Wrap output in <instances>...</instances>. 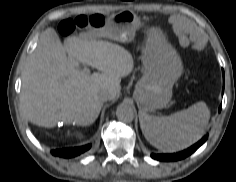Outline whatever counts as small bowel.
<instances>
[{
    "label": "small bowel",
    "mask_w": 236,
    "mask_h": 182,
    "mask_svg": "<svg viewBox=\"0 0 236 182\" xmlns=\"http://www.w3.org/2000/svg\"><path fill=\"white\" fill-rule=\"evenodd\" d=\"M172 23L174 24V28L176 33L179 36V40L183 45L187 44V38L183 35V28H184V23L181 18L179 17H173Z\"/></svg>",
    "instance_id": "1"
}]
</instances>
